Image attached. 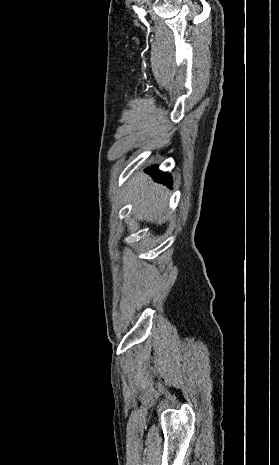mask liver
Returning a JSON list of instances; mask_svg holds the SVG:
<instances>
[{
  "label": "liver",
  "instance_id": "obj_1",
  "mask_svg": "<svg viewBox=\"0 0 279 465\" xmlns=\"http://www.w3.org/2000/svg\"><path fill=\"white\" fill-rule=\"evenodd\" d=\"M168 189L151 180L143 173H137L127 188V202L132 203V212L139 220L163 223L167 217Z\"/></svg>",
  "mask_w": 279,
  "mask_h": 465
}]
</instances>
